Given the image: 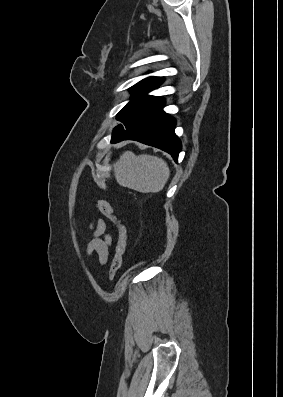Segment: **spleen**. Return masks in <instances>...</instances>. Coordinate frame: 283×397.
Instances as JSON below:
<instances>
[{"instance_id": "1", "label": "spleen", "mask_w": 283, "mask_h": 397, "mask_svg": "<svg viewBox=\"0 0 283 397\" xmlns=\"http://www.w3.org/2000/svg\"><path fill=\"white\" fill-rule=\"evenodd\" d=\"M114 174L120 186L142 193H157L168 181L170 170L162 158L126 151L116 162Z\"/></svg>"}]
</instances>
